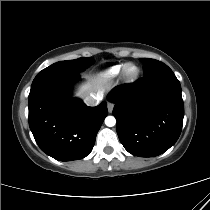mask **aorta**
I'll list each match as a JSON object with an SVG mask.
<instances>
[{"instance_id": "1", "label": "aorta", "mask_w": 210, "mask_h": 210, "mask_svg": "<svg viewBox=\"0 0 210 210\" xmlns=\"http://www.w3.org/2000/svg\"><path fill=\"white\" fill-rule=\"evenodd\" d=\"M105 124L108 126V127H113L115 124H116V119L115 117L113 116H107L105 118Z\"/></svg>"}]
</instances>
